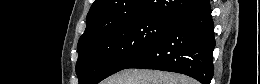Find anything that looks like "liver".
I'll list each match as a JSON object with an SVG mask.
<instances>
[{
  "label": "liver",
  "mask_w": 260,
  "mask_h": 84,
  "mask_svg": "<svg viewBox=\"0 0 260 84\" xmlns=\"http://www.w3.org/2000/svg\"><path fill=\"white\" fill-rule=\"evenodd\" d=\"M104 84H196V81L177 73L125 69L108 78Z\"/></svg>",
  "instance_id": "liver-1"
}]
</instances>
